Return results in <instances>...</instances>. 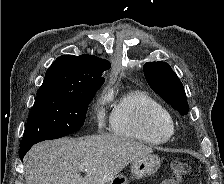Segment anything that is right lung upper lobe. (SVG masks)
Wrapping results in <instances>:
<instances>
[{"mask_svg":"<svg viewBox=\"0 0 224 184\" xmlns=\"http://www.w3.org/2000/svg\"><path fill=\"white\" fill-rule=\"evenodd\" d=\"M107 60L91 55H62L48 68L37 94H76L98 90L110 68Z\"/></svg>","mask_w":224,"mask_h":184,"instance_id":"cb5924a9","label":"right lung upper lobe"}]
</instances>
